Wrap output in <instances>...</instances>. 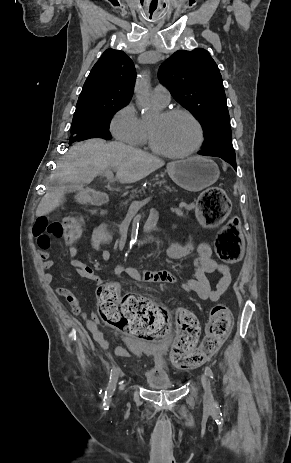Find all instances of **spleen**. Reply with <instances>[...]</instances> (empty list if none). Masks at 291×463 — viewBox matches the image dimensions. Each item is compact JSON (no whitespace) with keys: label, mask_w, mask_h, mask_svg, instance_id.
Instances as JSON below:
<instances>
[{"label":"spleen","mask_w":291,"mask_h":463,"mask_svg":"<svg viewBox=\"0 0 291 463\" xmlns=\"http://www.w3.org/2000/svg\"><path fill=\"white\" fill-rule=\"evenodd\" d=\"M236 194H237V192H236V191H234V195H236Z\"/></svg>","instance_id":"1"}]
</instances>
